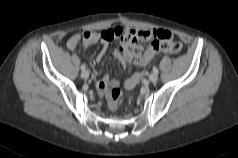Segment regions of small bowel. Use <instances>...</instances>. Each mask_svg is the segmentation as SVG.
Instances as JSON below:
<instances>
[{
	"instance_id": "obj_1",
	"label": "small bowel",
	"mask_w": 238,
	"mask_h": 158,
	"mask_svg": "<svg viewBox=\"0 0 238 158\" xmlns=\"http://www.w3.org/2000/svg\"><path fill=\"white\" fill-rule=\"evenodd\" d=\"M110 32L112 39L106 38L103 33ZM120 37L121 44L113 50V56L124 65L126 62H131L135 65L145 66L156 55L163 51L162 43L167 39H171V33L163 29H131L115 27L105 30L101 33L93 31H85L83 33L74 34L67 42L70 50H75L78 47L85 48L88 45L100 42L101 48L96 56V61H101L107 52L109 42L114 38ZM152 40L147 49H143L141 42ZM141 74L135 73L127 82L129 88L134 87L140 80ZM112 82L108 75L96 79V87L99 93L105 94Z\"/></svg>"
}]
</instances>
